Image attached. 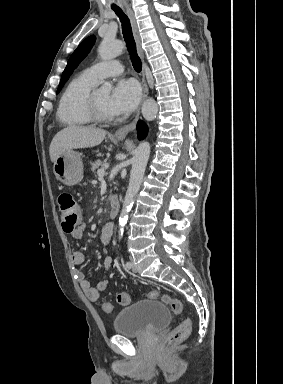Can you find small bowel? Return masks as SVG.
<instances>
[{
    "label": "small bowel",
    "instance_id": "obj_1",
    "mask_svg": "<svg viewBox=\"0 0 283 384\" xmlns=\"http://www.w3.org/2000/svg\"><path fill=\"white\" fill-rule=\"evenodd\" d=\"M85 227V223H80L78 227L73 232H71L72 237L75 239H80L85 230ZM113 231V223L109 222L103 226L101 231V243L103 245H107L110 242V239L113 235ZM71 261L76 267L83 265L85 261L84 253L81 251H74L71 255ZM103 263L104 267L107 270L110 269L113 263L112 257L109 255H105ZM76 278L79 283L80 289L90 301H97L100 297V293L105 291L109 285L108 280L105 279L100 281L95 287L91 286L89 280L85 277V274L81 270L76 271Z\"/></svg>",
    "mask_w": 283,
    "mask_h": 384
}]
</instances>
